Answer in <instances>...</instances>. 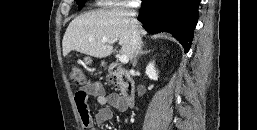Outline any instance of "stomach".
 Returning <instances> with one entry per match:
<instances>
[{"mask_svg": "<svg viewBox=\"0 0 257 130\" xmlns=\"http://www.w3.org/2000/svg\"><path fill=\"white\" fill-rule=\"evenodd\" d=\"M84 62H85L86 64H91L92 59H91L90 57H86V58L84 59Z\"/></svg>", "mask_w": 257, "mask_h": 130, "instance_id": "0dacf381", "label": "stomach"}]
</instances>
